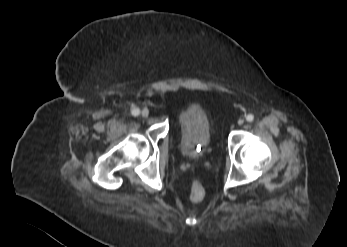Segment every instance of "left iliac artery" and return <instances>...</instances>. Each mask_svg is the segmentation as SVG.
Segmentation results:
<instances>
[{"label":"left iliac artery","instance_id":"obj_1","mask_svg":"<svg viewBox=\"0 0 347 247\" xmlns=\"http://www.w3.org/2000/svg\"><path fill=\"white\" fill-rule=\"evenodd\" d=\"M246 120L248 122H252L254 120V116L252 114H249V115L246 116Z\"/></svg>","mask_w":347,"mask_h":247}]
</instances>
